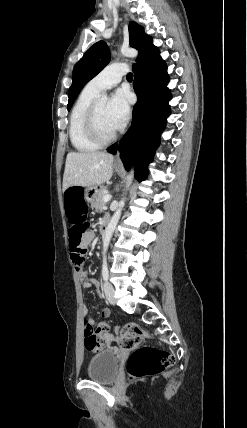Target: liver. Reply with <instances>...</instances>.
I'll return each instance as SVG.
<instances>
[{
  "instance_id": "1",
  "label": "liver",
  "mask_w": 247,
  "mask_h": 428,
  "mask_svg": "<svg viewBox=\"0 0 247 428\" xmlns=\"http://www.w3.org/2000/svg\"><path fill=\"white\" fill-rule=\"evenodd\" d=\"M111 154L105 152H70L66 157L63 191L69 187H91L110 180L113 174Z\"/></svg>"
}]
</instances>
